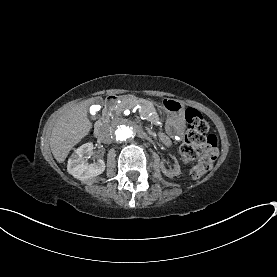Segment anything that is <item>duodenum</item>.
<instances>
[{
	"instance_id": "1",
	"label": "duodenum",
	"mask_w": 277,
	"mask_h": 277,
	"mask_svg": "<svg viewBox=\"0 0 277 277\" xmlns=\"http://www.w3.org/2000/svg\"><path fill=\"white\" fill-rule=\"evenodd\" d=\"M126 95H110L104 103V107L101 113L100 119L96 122L95 125V134L100 135L102 130L104 129L106 120L111 113L112 109L115 107L118 101L126 99Z\"/></svg>"
}]
</instances>
